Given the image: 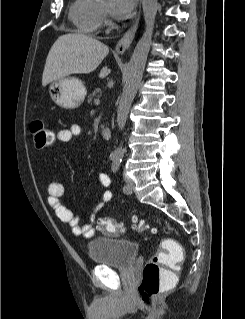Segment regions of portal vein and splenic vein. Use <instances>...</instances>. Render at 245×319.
Masks as SVG:
<instances>
[{"label":"portal vein and splenic vein","instance_id":"1","mask_svg":"<svg viewBox=\"0 0 245 319\" xmlns=\"http://www.w3.org/2000/svg\"><path fill=\"white\" fill-rule=\"evenodd\" d=\"M95 105H99L100 104V99L98 98V99H95Z\"/></svg>","mask_w":245,"mask_h":319}]
</instances>
